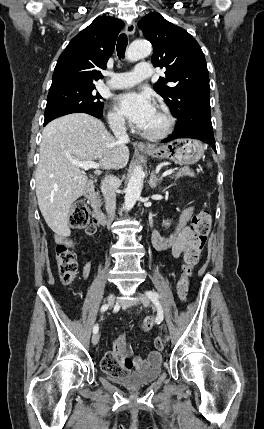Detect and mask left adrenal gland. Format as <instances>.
I'll return each instance as SVG.
<instances>
[{
  "instance_id": "a2214340",
  "label": "left adrenal gland",
  "mask_w": 264,
  "mask_h": 429,
  "mask_svg": "<svg viewBox=\"0 0 264 429\" xmlns=\"http://www.w3.org/2000/svg\"><path fill=\"white\" fill-rule=\"evenodd\" d=\"M161 182V178H157L154 171L150 175L149 185L151 188H156Z\"/></svg>"
}]
</instances>
